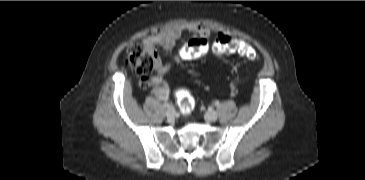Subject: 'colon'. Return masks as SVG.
<instances>
[{
	"label": "colon",
	"mask_w": 365,
	"mask_h": 180,
	"mask_svg": "<svg viewBox=\"0 0 365 180\" xmlns=\"http://www.w3.org/2000/svg\"><path fill=\"white\" fill-rule=\"evenodd\" d=\"M210 49L219 55L236 53L249 60L257 57L250 44L225 34H219L211 42L206 38H193L183 46L180 56L185 60L198 59L205 56ZM126 63L137 74L149 76L157 63L155 51L141 41H134L126 48ZM177 102L184 115L191 113L195 105L194 98L184 88L177 91Z\"/></svg>",
	"instance_id": "obj_1"
}]
</instances>
